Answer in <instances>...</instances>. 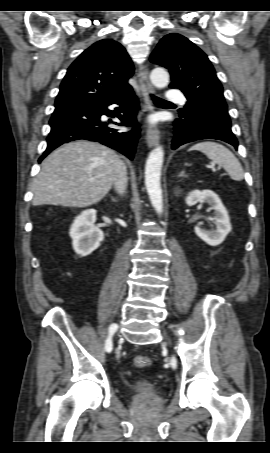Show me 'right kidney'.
I'll return each instance as SVG.
<instances>
[{
  "mask_svg": "<svg viewBox=\"0 0 270 453\" xmlns=\"http://www.w3.org/2000/svg\"><path fill=\"white\" fill-rule=\"evenodd\" d=\"M96 210L88 209L77 216L71 225L69 235L76 254L81 257L90 255L104 239L103 232L95 227Z\"/></svg>",
  "mask_w": 270,
  "mask_h": 453,
  "instance_id": "ca27d5eb",
  "label": "right kidney"
}]
</instances>
